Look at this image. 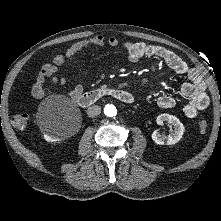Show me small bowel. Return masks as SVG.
<instances>
[{"instance_id":"obj_1","label":"small bowel","mask_w":221,"mask_h":221,"mask_svg":"<svg viewBox=\"0 0 221 221\" xmlns=\"http://www.w3.org/2000/svg\"><path fill=\"white\" fill-rule=\"evenodd\" d=\"M121 47L127 53L130 62H138L142 58L157 57L162 59L166 65L177 74L185 75L188 81L182 85V94L187 98L184 106V113L189 118H196L200 111L206 109L209 105V97L206 93V84L198 70L190 67L173 51L159 45L146 44L143 42H121L116 37H104L95 35L72 44L64 53L57 54L52 61L45 63L32 86V94L35 98L41 99L51 93L44 87L46 79H51L57 86H64L66 78L58 75V70L66 61H72L81 51L93 47ZM83 92V85H76L69 96L76 99ZM157 104L163 109H169L175 106V99L169 95H162L157 99Z\"/></svg>"}]
</instances>
